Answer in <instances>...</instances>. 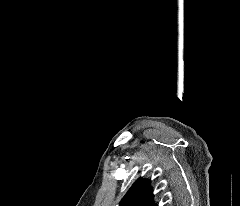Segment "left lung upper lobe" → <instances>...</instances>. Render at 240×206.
Masks as SVG:
<instances>
[{
	"instance_id": "obj_1",
	"label": "left lung upper lobe",
	"mask_w": 240,
	"mask_h": 206,
	"mask_svg": "<svg viewBox=\"0 0 240 206\" xmlns=\"http://www.w3.org/2000/svg\"><path fill=\"white\" fill-rule=\"evenodd\" d=\"M149 180L139 178L120 202V206H158L153 201Z\"/></svg>"
}]
</instances>
